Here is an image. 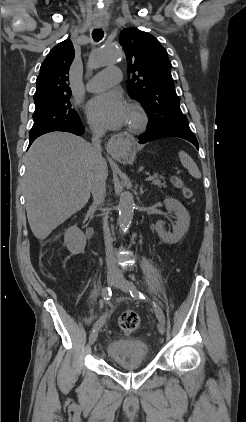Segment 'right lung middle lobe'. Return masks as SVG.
Instances as JSON below:
<instances>
[{"label": "right lung middle lobe", "instance_id": "dd1d6c3e", "mask_svg": "<svg viewBox=\"0 0 246 422\" xmlns=\"http://www.w3.org/2000/svg\"><path fill=\"white\" fill-rule=\"evenodd\" d=\"M70 96L59 98L52 103L36 108L34 124L29 136H34L59 126H73L80 122L77 112L71 108Z\"/></svg>", "mask_w": 246, "mask_h": 422}]
</instances>
